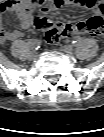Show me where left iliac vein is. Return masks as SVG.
<instances>
[{
	"instance_id": "left-iliac-vein-1",
	"label": "left iliac vein",
	"mask_w": 104,
	"mask_h": 137,
	"mask_svg": "<svg viewBox=\"0 0 104 137\" xmlns=\"http://www.w3.org/2000/svg\"><path fill=\"white\" fill-rule=\"evenodd\" d=\"M61 49L68 54L73 52V47L71 45H64L61 47Z\"/></svg>"
}]
</instances>
